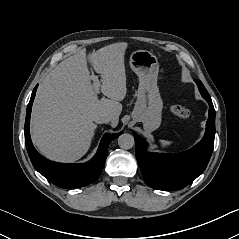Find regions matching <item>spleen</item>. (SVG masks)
Wrapping results in <instances>:
<instances>
[{"instance_id":"3e777b00","label":"spleen","mask_w":239,"mask_h":239,"mask_svg":"<svg viewBox=\"0 0 239 239\" xmlns=\"http://www.w3.org/2000/svg\"><path fill=\"white\" fill-rule=\"evenodd\" d=\"M160 144H161L162 148L166 149L172 144V142L171 141H166V140H161Z\"/></svg>"}]
</instances>
